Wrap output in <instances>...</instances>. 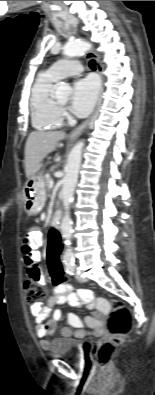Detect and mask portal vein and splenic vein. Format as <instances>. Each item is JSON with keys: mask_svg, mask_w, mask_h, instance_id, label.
<instances>
[{"mask_svg": "<svg viewBox=\"0 0 155 395\" xmlns=\"http://www.w3.org/2000/svg\"><path fill=\"white\" fill-rule=\"evenodd\" d=\"M53 185H54V182H53V180H51V181L49 182V188H52Z\"/></svg>", "mask_w": 155, "mask_h": 395, "instance_id": "portal-vein-and-splenic-vein-1", "label": "portal vein and splenic vein"}]
</instances>
